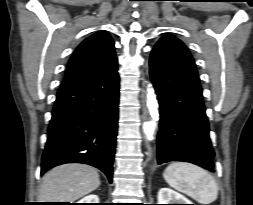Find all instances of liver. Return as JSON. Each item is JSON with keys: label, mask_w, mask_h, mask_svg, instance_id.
<instances>
[{"label": "liver", "mask_w": 253, "mask_h": 205, "mask_svg": "<svg viewBox=\"0 0 253 205\" xmlns=\"http://www.w3.org/2000/svg\"><path fill=\"white\" fill-rule=\"evenodd\" d=\"M99 185V174L95 168L85 164H65L53 168L43 176L39 200L72 203Z\"/></svg>", "instance_id": "6515ba94"}]
</instances>
